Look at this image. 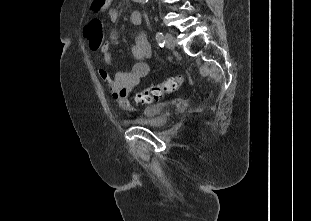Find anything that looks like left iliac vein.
I'll return each mask as SVG.
<instances>
[{
    "instance_id": "left-iliac-vein-1",
    "label": "left iliac vein",
    "mask_w": 311,
    "mask_h": 221,
    "mask_svg": "<svg viewBox=\"0 0 311 221\" xmlns=\"http://www.w3.org/2000/svg\"><path fill=\"white\" fill-rule=\"evenodd\" d=\"M165 44L168 48L174 49L175 47V38L171 33L165 34Z\"/></svg>"
}]
</instances>
